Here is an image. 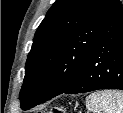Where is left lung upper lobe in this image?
I'll list each match as a JSON object with an SVG mask.
<instances>
[{"label":"left lung upper lobe","mask_w":123,"mask_h":113,"mask_svg":"<svg viewBox=\"0 0 123 113\" xmlns=\"http://www.w3.org/2000/svg\"><path fill=\"white\" fill-rule=\"evenodd\" d=\"M118 0H56L38 27L20 91L22 109L68 90Z\"/></svg>","instance_id":"obj_1"}]
</instances>
